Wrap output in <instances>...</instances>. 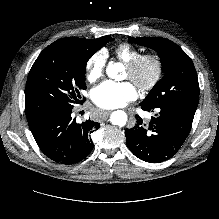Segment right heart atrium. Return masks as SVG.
I'll use <instances>...</instances> for the list:
<instances>
[{"instance_id": "right-heart-atrium-1", "label": "right heart atrium", "mask_w": 219, "mask_h": 219, "mask_svg": "<svg viewBox=\"0 0 219 219\" xmlns=\"http://www.w3.org/2000/svg\"><path fill=\"white\" fill-rule=\"evenodd\" d=\"M106 64V55L103 51L93 54L86 63V78L89 82H95L103 77Z\"/></svg>"}]
</instances>
